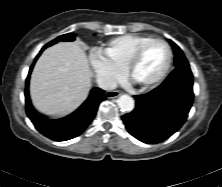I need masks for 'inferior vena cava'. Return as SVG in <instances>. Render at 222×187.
I'll return each mask as SVG.
<instances>
[{
	"label": "inferior vena cava",
	"instance_id": "inferior-vena-cava-1",
	"mask_svg": "<svg viewBox=\"0 0 222 187\" xmlns=\"http://www.w3.org/2000/svg\"><path fill=\"white\" fill-rule=\"evenodd\" d=\"M96 82L99 88L103 90H112L117 87V83L115 80L109 77H105V76L97 77Z\"/></svg>",
	"mask_w": 222,
	"mask_h": 187
}]
</instances>
